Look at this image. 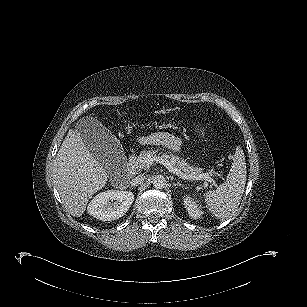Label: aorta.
<instances>
[{
	"instance_id": "1",
	"label": "aorta",
	"mask_w": 307,
	"mask_h": 307,
	"mask_svg": "<svg viewBox=\"0 0 307 307\" xmlns=\"http://www.w3.org/2000/svg\"><path fill=\"white\" fill-rule=\"evenodd\" d=\"M152 184L156 189H162L166 185V179L163 175L153 177Z\"/></svg>"
}]
</instances>
